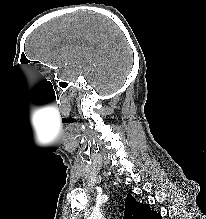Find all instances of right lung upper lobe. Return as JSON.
<instances>
[{
  "label": "right lung upper lobe",
  "mask_w": 206,
  "mask_h": 219,
  "mask_svg": "<svg viewBox=\"0 0 206 219\" xmlns=\"http://www.w3.org/2000/svg\"><path fill=\"white\" fill-rule=\"evenodd\" d=\"M160 214L149 209L148 204H141L132 195H127L124 219H159Z\"/></svg>",
  "instance_id": "1"
}]
</instances>
